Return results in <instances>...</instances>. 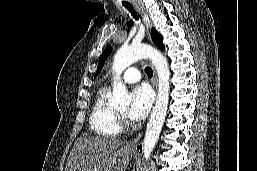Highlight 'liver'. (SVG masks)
<instances>
[{
    "label": "liver",
    "mask_w": 257,
    "mask_h": 171,
    "mask_svg": "<svg viewBox=\"0 0 257 171\" xmlns=\"http://www.w3.org/2000/svg\"><path fill=\"white\" fill-rule=\"evenodd\" d=\"M117 138L88 136L80 138L72 148L65 171H98L101 164L121 146Z\"/></svg>",
    "instance_id": "1"
}]
</instances>
